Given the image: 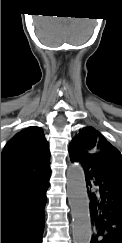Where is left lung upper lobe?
I'll use <instances>...</instances> for the list:
<instances>
[{
	"mask_svg": "<svg viewBox=\"0 0 122 243\" xmlns=\"http://www.w3.org/2000/svg\"><path fill=\"white\" fill-rule=\"evenodd\" d=\"M69 152L71 161L77 162H80L81 158L99 156L103 153H114L122 156L115 147L92 127L83 128L79 131L70 143Z\"/></svg>",
	"mask_w": 122,
	"mask_h": 243,
	"instance_id": "5c2ea615",
	"label": "left lung upper lobe"
}]
</instances>
